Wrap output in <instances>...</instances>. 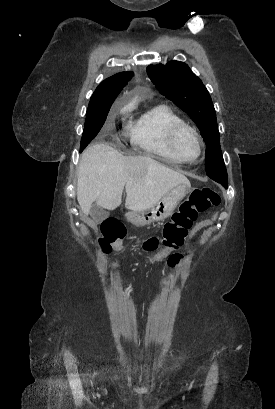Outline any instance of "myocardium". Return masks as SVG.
I'll return each mask as SVG.
<instances>
[{"mask_svg": "<svg viewBox=\"0 0 275 409\" xmlns=\"http://www.w3.org/2000/svg\"><path fill=\"white\" fill-rule=\"evenodd\" d=\"M189 132L196 143L197 146V153L194 157H200L201 152H202V144L199 138V135L197 133V131L190 125L186 124V123H182L179 125H176L175 127H173V129L170 132V136H169V148L170 151L172 153L173 157H179L177 152H176V144H177V140L179 138V136L183 133V132Z\"/></svg>", "mask_w": 275, "mask_h": 409, "instance_id": "1", "label": "myocardium"}]
</instances>
